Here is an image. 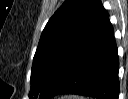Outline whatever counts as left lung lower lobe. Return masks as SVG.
I'll return each instance as SVG.
<instances>
[{
    "mask_svg": "<svg viewBox=\"0 0 128 99\" xmlns=\"http://www.w3.org/2000/svg\"><path fill=\"white\" fill-rule=\"evenodd\" d=\"M118 70L114 31L106 12L85 43L61 66L45 99L60 94L118 99Z\"/></svg>",
    "mask_w": 128,
    "mask_h": 99,
    "instance_id": "1",
    "label": "left lung lower lobe"
}]
</instances>
